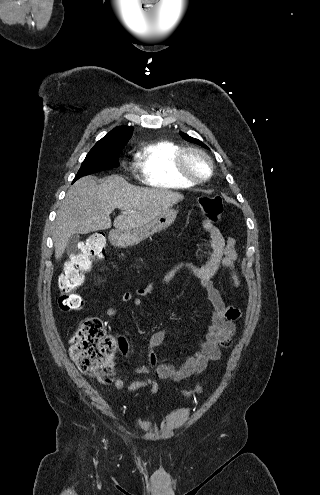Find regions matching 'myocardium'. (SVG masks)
<instances>
[{"mask_svg":"<svg viewBox=\"0 0 320 495\" xmlns=\"http://www.w3.org/2000/svg\"><path fill=\"white\" fill-rule=\"evenodd\" d=\"M189 154H198L206 161L208 165V173L205 176H196L188 170L186 160ZM175 169L182 178L193 184H199L207 181L212 176L214 171V163L210 155L205 150L195 146H187L181 148L178 152L175 158Z\"/></svg>","mask_w":320,"mask_h":495,"instance_id":"f54148a6","label":"myocardium"}]
</instances>
